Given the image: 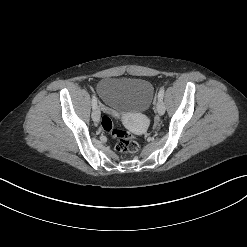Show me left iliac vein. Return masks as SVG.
I'll return each mask as SVG.
<instances>
[{"mask_svg": "<svg viewBox=\"0 0 247 247\" xmlns=\"http://www.w3.org/2000/svg\"><path fill=\"white\" fill-rule=\"evenodd\" d=\"M157 113L162 116L165 113V105L163 103V100L158 99L157 105Z\"/></svg>", "mask_w": 247, "mask_h": 247, "instance_id": "obj_1", "label": "left iliac vein"}]
</instances>
